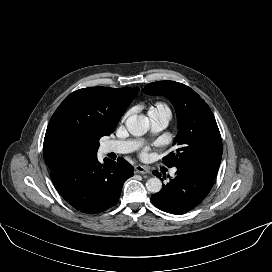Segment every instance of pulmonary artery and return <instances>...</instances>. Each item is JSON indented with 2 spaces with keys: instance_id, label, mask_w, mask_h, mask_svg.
I'll return each mask as SVG.
<instances>
[{
  "instance_id": "1",
  "label": "pulmonary artery",
  "mask_w": 272,
  "mask_h": 272,
  "mask_svg": "<svg viewBox=\"0 0 272 272\" xmlns=\"http://www.w3.org/2000/svg\"><path fill=\"white\" fill-rule=\"evenodd\" d=\"M170 121V117L164 114L154 115L149 117V123L152 132L157 133L165 129ZM141 144L139 140H127V141H111L105 145V150L107 152L114 153H130L138 148ZM176 170H172L171 173L174 174Z\"/></svg>"
}]
</instances>
